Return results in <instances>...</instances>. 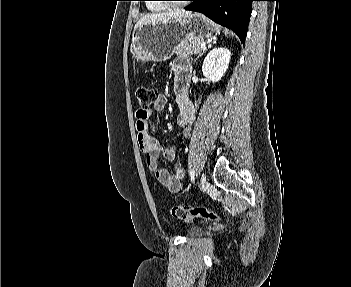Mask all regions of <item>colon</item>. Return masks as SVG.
Instances as JSON below:
<instances>
[{"instance_id": "obj_1", "label": "colon", "mask_w": 351, "mask_h": 287, "mask_svg": "<svg viewBox=\"0 0 351 287\" xmlns=\"http://www.w3.org/2000/svg\"><path fill=\"white\" fill-rule=\"evenodd\" d=\"M136 97L141 108L146 109L154 102L156 93L152 88L140 86L136 89ZM171 214L174 218L184 221H192L198 217L207 220L220 218L216 212L200 206L174 205Z\"/></svg>"}]
</instances>
